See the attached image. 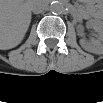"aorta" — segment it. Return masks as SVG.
Returning a JSON list of instances; mask_svg holds the SVG:
<instances>
[{"label": "aorta", "instance_id": "762f6f07", "mask_svg": "<svg viewBox=\"0 0 103 103\" xmlns=\"http://www.w3.org/2000/svg\"><path fill=\"white\" fill-rule=\"evenodd\" d=\"M50 11L53 14H61L64 12V6L60 1H53L49 6Z\"/></svg>", "mask_w": 103, "mask_h": 103}]
</instances>
